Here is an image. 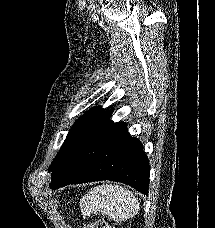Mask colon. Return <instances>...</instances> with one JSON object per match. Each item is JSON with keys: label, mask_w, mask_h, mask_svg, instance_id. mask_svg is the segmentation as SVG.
<instances>
[{"label": "colon", "mask_w": 215, "mask_h": 228, "mask_svg": "<svg viewBox=\"0 0 215 228\" xmlns=\"http://www.w3.org/2000/svg\"><path fill=\"white\" fill-rule=\"evenodd\" d=\"M85 228H119L114 218L105 216L100 218L94 225H85Z\"/></svg>", "instance_id": "obj_1"}]
</instances>
